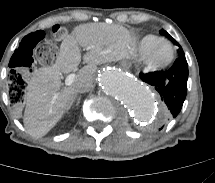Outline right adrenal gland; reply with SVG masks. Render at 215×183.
<instances>
[{"mask_svg":"<svg viewBox=\"0 0 215 183\" xmlns=\"http://www.w3.org/2000/svg\"><path fill=\"white\" fill-rule=\"evenodd\" d=\"M80 100H81V96L78 97L76 105H78L80 103Z\"/></svg>","mask_w":215,"mask_h":183,"instance_id":"1","label":"right adrenal gland"}]
</instances>
